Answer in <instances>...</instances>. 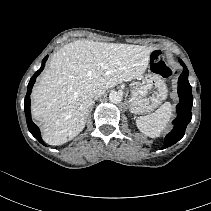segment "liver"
Masks as SVG:
<instances>
[{
	"instance_id": "liver-1",
	"label": "liver",
	"mask_w": 211,
	"mask_h": 211,
	"mask_svg": "<svg viewBox=\"0 0 211 211\" xmlns=\"http://www.w3.org/2000/svg\"><path fill=\"white\" fill-rule=\"evenodd\" d=\"M153 47L89 40L71 42L53 54L33 88L32 116L39 121L43 140L62 145L85 127L96 89L140 78Z\"/></svg>"
}]
</instances>
